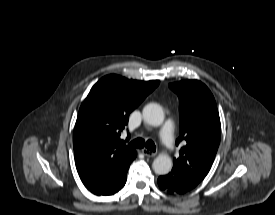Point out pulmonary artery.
I'll return each mask as SVG.
<instances>
[{
    "label": "pulmonary artery",
    "instance_id": "e3ab8cb5",
    "mask_svg": "<svg viewBox=\"0 0 275 215\" xmlns=\"http://www.w3.org/2000/svg\"><path fill=\"white\" fill-rule=\"evenodd\" d=\"M160 139L168 150H172L174 148V134L172 121H167L161 128Z\"/></svg>",
    "mask_w": 275,
    "mask_h": 215
}]
</instances>
